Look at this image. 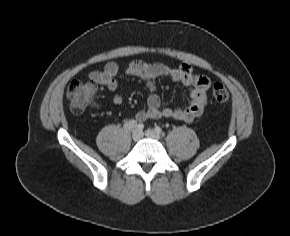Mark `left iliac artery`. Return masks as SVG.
<instances>
[{
	"label": "left iliac artery",
	"instance_id": "obj_1",
	"mask_svg": "<svg viewBox=\"0 0 290 236\" xmlns=\"http://www.w3.org/2000/svg\"><path fill=\"white\" fill-rule=\"evenodd\" d=\"M155 131L158 132V133H161V132H162V129H161V127H159V126H156V127H155Z\"/></svg>",
	"mask_w": 290,
	"mask_h": 236
}]
</instances>
